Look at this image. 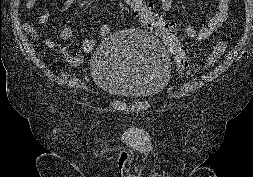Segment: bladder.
Masks as SVG:
<instances>
[{"mask_svg": "<svg viewBox=\"0 0 253 177\" xmlns=\"http://www.w3.org/2000/svg\"><path fill=\"white\" fill-rule=\"evenodd\" d=\"M90 69L101 89L121 99H146L161 92L170 63L160 44L132 31L113 33L94 52Z\"/></svg>", "mask_w": 253, "mask_h": 177, "instance_id": "bladder-1", "label": "bladder"}]
</instances>
